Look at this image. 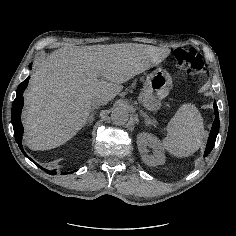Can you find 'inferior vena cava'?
Listing matches in <instances>:
<instances>
[{
	"label": "inferior vena cava",
	"instance_id": "1",
	"mask_svg": "<svg viewBox=\"0 0 236 236\" xmlns=\"http://www.w3.org/2000/svg\"><path fill=\"white\" fill-rule=\"evenodd\" d=\"M105 101H106V100L101 99L99 102H100V104H104Z\"/></svg>",
	"mask_w": 236,
	"mask_h": 236
}]
</instances>
